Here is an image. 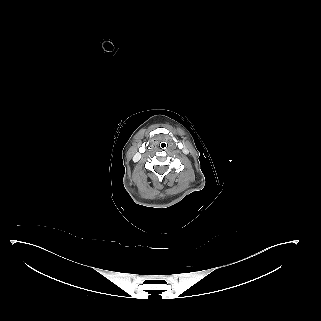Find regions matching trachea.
Returning a JSON list of instances; mask_svg holds the SVG:
<instances>
[{"label": "trachea", "mask_w": 321, "mask_h": 321, "mask_svg": "<svg viewBox=\"0 0 321 321\" xmlns=\"http://www.w3.org/2000/svg\"><path fill=\"white\" fill-rule=\"evenodd\" d=\"M159 145H160L161 149H163V150L166 149V147H167L166 144H165V142H163V141L160 142Z\"/></svg>", "instance_id": "obj_1"}]
</instances>
